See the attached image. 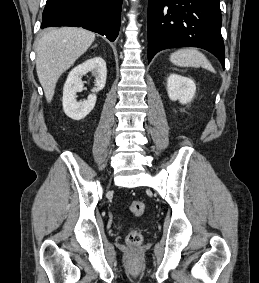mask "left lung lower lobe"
<instances>
[{
    "label": "left lung lower lobe",
    "instance_id": "obj_1",
    "mask_svg": "<svg viewBox=\"0 0 259 283\" xmlns=\"http://www.w3.org/2000/svg\"><path fill=\"white\" fill-rule=\"evenodd\" d=\"M220 0H149L148 62L166 48L198 47L213 53L223 68Z\"/></svg>",
    "mask_w": 259,
    "mask_h": 283
}]
</instances>
